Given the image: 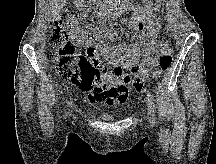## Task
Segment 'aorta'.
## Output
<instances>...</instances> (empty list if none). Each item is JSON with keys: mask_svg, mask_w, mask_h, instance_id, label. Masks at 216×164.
I'll return each instance as SVG.
<instances>
[{"mask_svg": "<svg viewBox=\"0 0 216 164\" xmlns=\"http://www.w3.org/2000/svg\"><path fill=\"white\" fill-rule=\"evenodd\" d=\"M112 2L111 6L114 10H117L118 2L120 0H110Z\"/></svg>", "mask_w": 216, "mask_h": 164, "instance_id": "1", "label": "aorta"}]
</instances>
